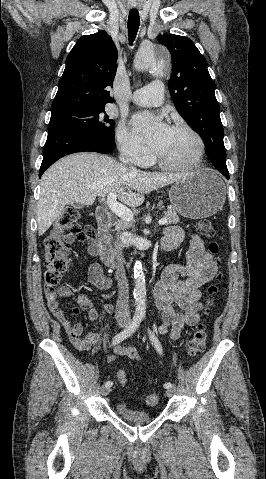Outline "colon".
Instances as JSON below:
<instances>
[{"label": "colon", "mask_w": 266, "mask_h": 479, "mask_svg": "<svg viewBox=\"0 0 266 479\" xmlns=\"http://www.w3.org/2000/svg\"><path fill=\"white\" fill-rule=\"evenodd\" d=\"M79 212L76 208L68 207L61 214L56 221L50 234L44 240V285L45 290L53 291L58 286L62 275L66 272L70 257L69 251L65 244V236L71 235L74 239L80 242H92L95 238V230L90 225H82L78 221ZM197 230L201 235L212 237L215 233L214 228L209 220H200L197 224ZM209 250L212 253H217L219 250L216 242L209 244ZM218 292V285L213 284L209 288V304L213 297ZM207 335L205 332V325L203 322L199 323L193 336L188 342V354L191 357L200 355L206 346ZM118 380L125 385L127 382V375L123 369H120L117 374ZM148 405L154 406L158 403L157 394H148L145 398Z\"/></svg>", "instance_id": "1"}]
</instances>
